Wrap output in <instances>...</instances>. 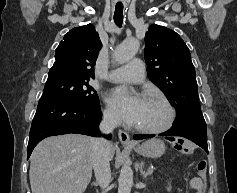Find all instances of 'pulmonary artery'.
Masks as SVG:
<instances>
[{
    "label": "pulmonary artery",
    "instance_id": "pulmonary-artery-1",
    "mask_svg": "<svg viewBox=\"0 0 237 193\" xmlns=\"http://www.w3.org/2000/svg\"><path fill=\"white\" fill-rule=\"evenodd\" d=\"M106 78L112 82L141 83L144 80V66L140 59L111 71Z\"/></svg>",
    "mask_w": 237,
    "mask_h": 193
}]
</instances>
